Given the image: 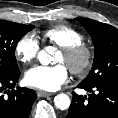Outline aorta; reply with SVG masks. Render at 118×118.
<instances>
[{
  "instance_id": "762f6f07",
  "label": "aorta",
  "mask_w": 118,
  "mask_h": 118,
  "mask_svg": "<svg viewBox=\"0 0 118 118\" xmlns=\"http://www.w3.org/2000/svg\"><path fill=\"white\" fill-rule=\"evenodd\" d=\"M53 51L52 47H46L44 50L40 51L38 54L39 62L42 65H48L52 61V56L50 53ZM54 104L56 108L60 110H66L71 104V100L68 95L61 93L54 97Z\"/></svg>"
}]
</instances>
